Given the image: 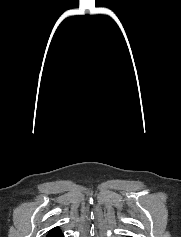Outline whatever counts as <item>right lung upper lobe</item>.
<instances>
[{
	"instance_id": "1",
	"label": "right lung upper lobe",
	"mask_w": 181,
	"mask_h": 237,
	"mask_svg": "<svg viewBox=\"0 0 181 237\" xmlns=\"http://www.w3.org/2000/svg\"><path fill=\"white\" fill-rule=\"evenodd\" d=\"M60 229L58 227L53 228L52 230H50L47 234L48 237H54V235H57L58 233H60Z\"/></svg>"
}]
</instances>
